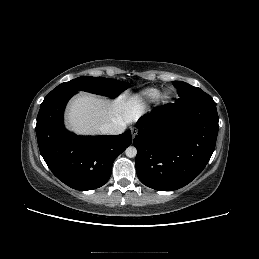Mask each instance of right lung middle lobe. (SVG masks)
<instances>
[{
    "instance_id": "right-lung-middle-lobe-1",
    "label": "right lung middle lobe",
    "mask_w": 259,
    "mask_h": 259,
    "mask_svg": "<svg viewBox=\"0 0 259 259\" xmlns=\"http://www.w3.org/2000/svg\"><path fill=\"white\" fill-rule=\"evenodd\" d=\"M130 86L129 83L103 77L82 76L69 82H64L52 90L45 98L63 92L86 91L94 94L117 97Z\"/></svg>"
}]
</instances>
